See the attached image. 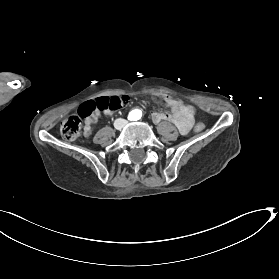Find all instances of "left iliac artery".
<instances>
[{"label":"left iliac artery","mask_w":279,"mask_h":279,"mask_svg":"<svg viewBox=\"0 0 279 279\" xmlns=\"http://www.w3.org/2000/svg\"><path fill=\"white\" fill-rule=\"evenodd\" d=\"M141 116H142V113L141 112H137V115H136L137 119H140Z\"/></svg>","instance_id":"1"}]
</instances>
